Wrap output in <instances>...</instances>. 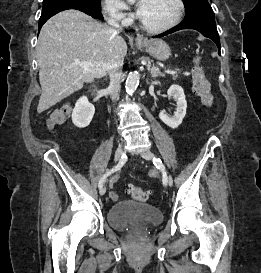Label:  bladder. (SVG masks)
Wrapping results in <instances>:
<instances>
[{"label": "bladder", "instance_id": "1", "mask_svg": "<svg viewBox=\"0 0 261 273\" xmlns=\"http://www.w3.org/2000/svg\"><path fill=\"white\" fill-rule=\"evenodd\" d=\"M162 214L155 207L133 201H122L114 204L107 213L108 223L123 230L134 223L153 227L162 222Z\"/></svg>", "mask_w": 261, "mask_h": 273}]
</instances>
